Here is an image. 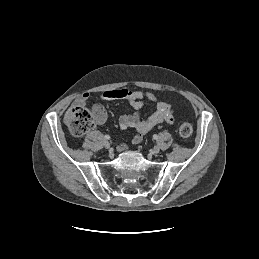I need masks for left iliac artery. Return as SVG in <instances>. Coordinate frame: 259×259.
Segmentation results:
<instances>
[{
    "mask_svg": "<svg viewBox=\"0 0 259 259\" xmlns=\"http://www.w3.org/2000/svg\"><path fill=\"white\" fill-rule=\"evenodd\" d=\"M158 138V136L155 134V135H153V139H157Z\"/></svg>",
    "mask_w": 259,
    "mask_h": 259,
    "instance_id": "obj_1",
    "label": "left iliac artery"
}]
</instances>
